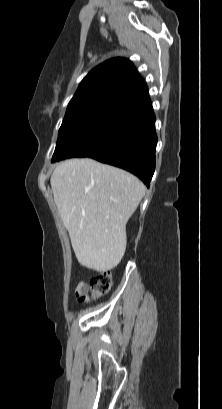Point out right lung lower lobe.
Wrapping results in <instances>:
<instances>
[{
	"mask_svg": "<svg viewBox=\"0 0 222 409\" xmlns=\"http://www.w3.org/2000/svg\"><path fill=\"white\" fill-rule=\"evenodd\" d=\"M155 115L150 101L125 109L100 146L85 157L123 168L147 187L155 171Z\"/></svg>",
	"mask_w": 222,
	"mask_h": 409,
	"instance_id": "98d812e1",
	"label": "right lung lower lobe"
}]
</instances>
